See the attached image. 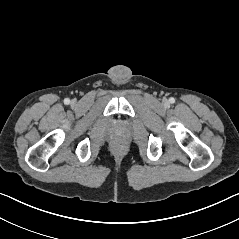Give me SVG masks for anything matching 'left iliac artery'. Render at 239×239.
Masks as SVG:
<instances>
[{
    "label": "left iliac artery",
    "mask_w": 239,
    "mask_h": 239,
    "mask_svg": "<svg viewBox=\"0 0 239 239\" xmlns=\"http://www.w3.org/2000/svg\"><path fill=\"white\" fill-rule=\"evenodd\" d=\"M171 103H174L175 102V99L174 98H170L169 100Z\"/></svg>",
    "instance_id": "obj_1"
}]
</instances>
